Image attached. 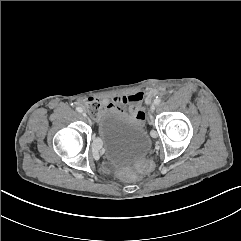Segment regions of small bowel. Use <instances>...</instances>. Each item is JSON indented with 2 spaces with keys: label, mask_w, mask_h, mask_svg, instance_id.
Masks as SVG:
<instances>
[{
  "label": "small bowel",
  "mask_w": 241,
  "mask_h": 241,
  "mask_svg": "<svg viewBox=\"0 0 241 241\" xmlns=\"http://www.w3.org/2000/svg\"><path fill=\"white\" fill-rule=\"evenodd\" d=\"M151 95L145 96L143 92H134L123 96L114 97L111 101L105 100L104 103L111 109H117L127 117L140 122L149 120V113L140 109V104L144 99H149Z\"/></svg>",
  "instance_id": "c3829d8e"
}]
</instances>
